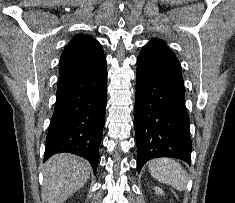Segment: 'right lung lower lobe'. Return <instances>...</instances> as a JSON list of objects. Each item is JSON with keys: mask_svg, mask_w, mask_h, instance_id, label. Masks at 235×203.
<instances>
[{"mask_svg": "<svg viewBox=\"0 0 235 203\" xmlns=\"http://www.w3.org/2000/svg\"><path fill=\"white\" fill-rule=\"evenodd\" d=\"M107 69L103 55L83 69L60 78L44 162L68 152L87 159L96 172L105 123Z\"/></svg>", "mask_w": 235, "mask_h": 203, "instance_id": "obj_1", "label": "right lung lower lobe"}]
</instances>
